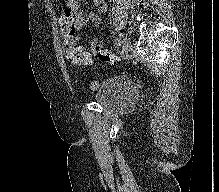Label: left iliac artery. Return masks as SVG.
Listing matches in <instances>:
<instances>
[{"label":"left iliac artery","mask_w":219,"mask_h":192,"mask_svg":"<svg viewBox=\"0 0 219 192\" xmlns=\"http://www.w3.org/2000/svg\"><path fill=\"white\" fill-rule=\"evenodd\" d=\"M115 44H116L117 46H120V44H121L120 38H117V39L115 40Z\"/></svg>","instance_id":"left-iliac-artery-1"}]
</instances>
